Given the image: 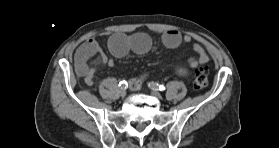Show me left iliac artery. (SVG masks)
<instances>
[{
	"label": "left iliac artery",
	"mask_w": 279,
	"mask_h": 148,
	"mask_svg": "<svg viewBox=\"0 0 279 148\" xmlns=\"http://www.w3.org/2000/svg\"><path fill=\"white\" fill-rule=\"evenodd\" d=\"M149 87L152 90H159V91H164L166 89L164 85L158 84L156 82L149 83Z\"/></svg>",
	"instance_id": "44dca946"
}]
</instances>
